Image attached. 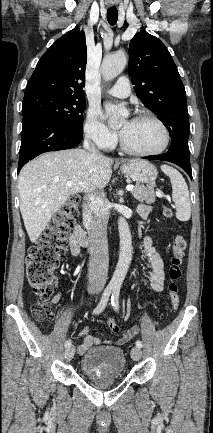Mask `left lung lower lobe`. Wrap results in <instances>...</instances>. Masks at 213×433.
<instances>
[{
	"mask_svg": "<svg viewBox=\"0 0 213 433\" xmlns=\"http://www.w3.org/2000/svg\"><path fill=\"white\" fill-rule=\"evenodd\" d=\"M146 159H154L172 162L184 169L192 179V170L190 165L189 153L180 150H168L167 153L158 156H147Z\"/></svg>",
	"mask_w": 213,
	"mask_h": 433,
	"instance_id": "0a47b994",
	"label": "left lung lower lobe"
}]
</instances>
